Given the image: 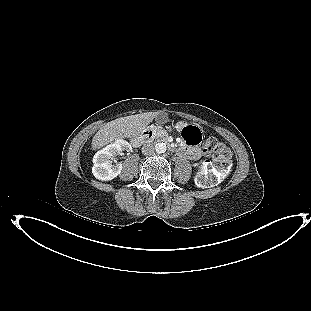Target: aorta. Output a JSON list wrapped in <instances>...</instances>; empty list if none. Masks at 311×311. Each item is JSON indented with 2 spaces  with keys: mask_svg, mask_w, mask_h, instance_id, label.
<instances>
[{
  "mask_svg": "<svg viewBox=\"0 0 311 311\" xmlns=\"http://www.w3.org/2000/svg\"><path fill=\"white\" fill-rule=\"evenodd\" d=\"M166 144L163 142L157 143L155 145V150L157 153H165L166 152Z\"/></svg>",
  "mask_w": 311,
  "mask_h": 311,
  "instance_id": "762f6f07",
  "label": "aorta"
}]
</instances>
